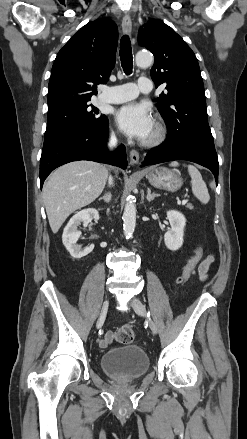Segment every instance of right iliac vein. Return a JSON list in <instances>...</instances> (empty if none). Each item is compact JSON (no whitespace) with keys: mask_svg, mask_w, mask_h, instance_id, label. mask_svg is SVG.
<instances>
[{"mask_svg":"<svg viewBox=\"0 0 247 439\" xmlns=\"http://www.w3.org/2000/svg\"><path fill=\"white\" fill-rule=\"evenodd\" d=\"M108 306H109V300L106 299L104 301V303H103V306L101 308V312H100L99 318L97 320V324H96L97 327L102 325V323L104 322V320L106 318L107 311H108Z\"/></svg>","mask_w":247,"mask_h":439,"instance_id":"63e3f726","label":"right iliac vein"}]
</instances>
